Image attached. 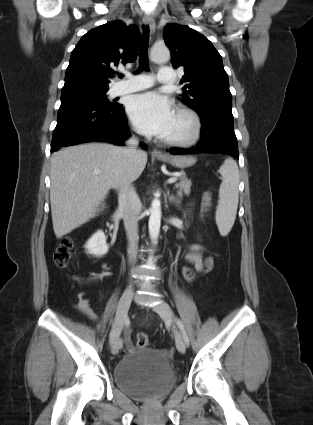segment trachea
Wrapping results in <instances>:
<instances>
[{"label":"trachea","mask_w":313,"mask_h":425,"mask_svg":"<svg viewBox=\"0 0 313 425\" xmlns=\"http://www.w3.org/2000/svg\"><path fill=\"white\" fill-rule=\"evenodd\" d=\"M148 41H149V29L144 27L143 35L139 47V71L148 70ZM122 78L123 75L119 74Z\"/></svg>","instance_id":"1"}]
</instances>
